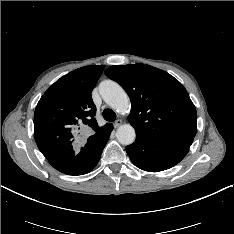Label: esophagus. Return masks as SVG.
I'll list each match as a JSON object with an SVG mask.
<instances>
[{
  "instance_id": "esophagus-1",
  "label": "esophagus",
  "mask_w": 234,
  "mask_h": 234,
  "mask_svg": "<svg viewBox=\"0 0 234 234\" xmlns=\"http://www.w3.org/2000/svg\"><path fill=\"white\" fill-rule=\"evenodd\" d=\"M123 123V121L121 119H117L115 122H114V127L117 128L119 126H121Z\"/></svg>"
}]
</instances>
